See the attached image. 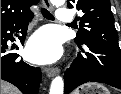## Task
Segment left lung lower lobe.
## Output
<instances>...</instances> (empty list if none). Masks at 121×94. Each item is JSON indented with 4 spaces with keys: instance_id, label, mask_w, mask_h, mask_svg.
<instances>
[{
    "instance_id": "0a47b994",
    "label": "left lung lower lobe",
    "mask_w": 121,
    "mask_h": 94,
    "mask_svg": "<svg viewBox=\"0 0 121 94\" xmlns=\"http://www.w3.org/2000/svg\"><path fill=\"white\" fill-rule=\"evenodd\" d=\"M78 54L64 74V94L87 82L105 83L121 89V50L119 45L88 42L79 45Z\"/></svg>"
}]
</instances>
